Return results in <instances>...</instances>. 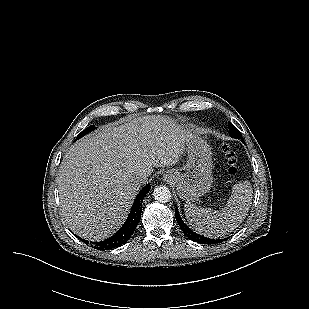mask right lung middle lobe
Wrapping results in <instances>:
<instances>
[{"label": "right lung middle lobe", "mask_w": 309, "mask_h": 309, "mask_svg": "<svg viewBox=\"0 0 309 309\" xmlns=\"http://www.w3.org/2000/svg\"><path fill=\"white\" fill-rule=\"evenodd\" d=\"M95 128H96V127H95L94 125L89 126L88 128H86L84 131H82V132L77 136L76 140L79 139V138H81L82 136L86 135V134L89 133L90 131L95 130Z\"/></svg>", "instance_id": "1"}]
</instances>
